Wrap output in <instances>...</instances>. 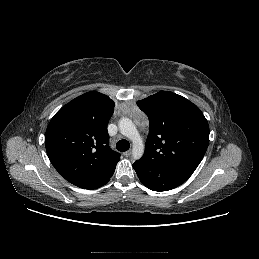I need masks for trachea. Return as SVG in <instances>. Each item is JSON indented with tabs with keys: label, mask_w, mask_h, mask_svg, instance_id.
<instances>
[{
	"label": "trachea",
	"mask_w": 259,
	"mask_h": 259,
	"mask_svg": "<svg viewBox=\"0 0 259 259\" xmlns=\"http://www.w3.org/2000/svg\"><path fill=\"white\" fill-rule=\"evenodd\" d=\"M116 148L121 152L127 151L130 148V143L127 140L122 139L117 142Z\"/></svg>",
	"instance_id": "trachea-1"
}]
</instances>
